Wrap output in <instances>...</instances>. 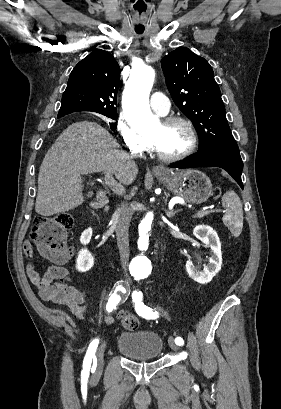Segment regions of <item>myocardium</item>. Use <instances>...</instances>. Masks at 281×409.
<instances>
[{"label":"myocardium","mask_w":281,"mask_h":409,"mask_svg":"<svg viewBox=\"0 0 281 409\" xmlns=\"http://www.w3.org/2000/svg\"><path fill=\"white\" fill-rule=\"evenodd\" d=\"M160 123L163 126H168L173 123L182 124L188 131L189 143L186 149L183 150L181 153H178L175 155H166L162 153L159 149H157L154 143L150 139L145 137L147 149L150 150L152 153H154L155 156H157L160 160L164 162H178V161L184 160L185 158L190 156L195 151L197 147V143H198V136H197L195 127L187 118L182 117V116H177V115H171V116H167L161 119Z\"/></svg>","instance_id":"f54148a6"}]
</instances>
